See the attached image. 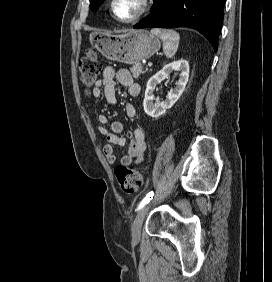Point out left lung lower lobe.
<instances>
[{"mask_svg":"<svg viewBox=\"0 0 272 282\" xmlns=\"http://www.w3.org/2000/svg\"><path fill=\"white\" fill-rule=\"evenodd\" d=\"M151 13L134 28L190 27L203 34L215 51L225 0H153Z\"/></svg>","mask_w":272,"mask_h":282,"instance_id":"obj_1","label":"left lung lower lobe"}]
</instances>
